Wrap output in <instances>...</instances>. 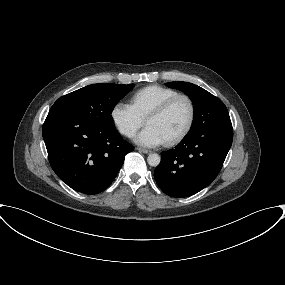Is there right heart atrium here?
Masks as SVG:
<instances>
[{"mask_svg":"<svg viewBox=\"0 0 285 285\" xmlns=\"http://www.w3.org/2000/svg\"><path fill=\"white\" fill-rule=\"evenodd\" d=\"M110 115L116 129L126 137H132L144 124V119L134 107L123 101L114 104Z\"/></svg>","mask_w":285,"mask_h":285,"instance_id":"d8ad5b80","label":"right heart atrium"}]
</instances>
